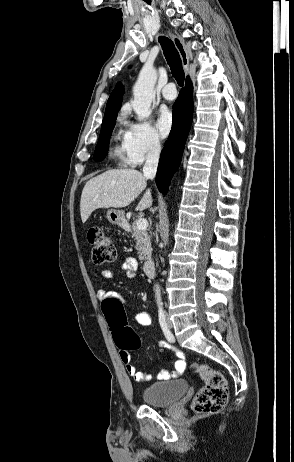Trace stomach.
Segmentation results:
<instances>
[{"instance_id": "0dacf381", "label": "stomach", "mask_w": 294, "mask_h": 462, "mask_svg": "<svg viewBox=\"0 0 294 462\" xmlns=\"http://www.w3.org/2000/svg\"><path fill=\"white\" fill-rule=\"evenodd\" d=\"M107 219L109 220L110 223L114 225H118L120 227L127 226V221L125 219L124 211L110 209L107 211Z\"/></svg>"}]
</instances>
